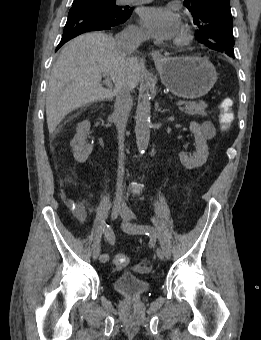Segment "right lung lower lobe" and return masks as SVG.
Masks as SVG:
<instances>
[{
	"label": "right lung lower lobe",
	"instance_id": "obj_1",
	"mask_svg": "<svg viewBox=\"0 0 261 340\" xmlns=\"http://www.w3.org/2000/svg\"><path fill=\"white\" fill-rule=\"evenodd\" d=\"M131 13L132 10L125 16L116 17L112 14H105L97 8L85 6L72 7L69 11L63 36L57 49L81 33L108 30L113 26L122 24L130 17Z\"/></svg>",
	"mask_w": 261,
	"mask_h": 340
}]
</instances>
